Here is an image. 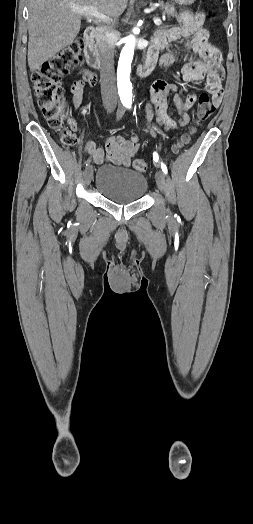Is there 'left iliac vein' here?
I'll use <instances>...</instances> for the list:
<instances>
[{"mask_svg":"<svg viewBox=\"0 0 253 524\" xmlns=\"http://www.w3.org/2000/svg\"><path fill=\"white\" fill-rule=\"evenodd\" d=\"M155 178H156V183H157L159 190L165 193L167 190L165 174L161 170H158L155 174Z\"/></svg>","mask_w":253,"mask_h":524,"instance_id":"obj_1","label":"left iliac vein"}]
</instances>
